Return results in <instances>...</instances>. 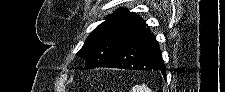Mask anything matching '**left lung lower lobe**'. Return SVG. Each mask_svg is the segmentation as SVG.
<instances>
[{
  "label": "left lung lower lobe",
  "mask_w": 225,
  "mask_h": 92,
  "mask_svg": "<svg viewBox=\"0 0 225 92\" xmlns=\"http://www.w3.org/2000/svg\"><path fill=\"white\" fill-rule=\"evenodd\" d=\"M97 67L161 71L166 79L165 65L159 44L148 26Z\"/></svg>",
  "instance_id": "obj_1"
}]
</instances>
